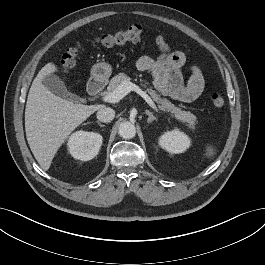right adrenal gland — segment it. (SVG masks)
I'll return each mask as SVG.
<instances>
[{"label":"right adrenal gland","mask_w":265,"mask_h":265,"mask_svg":"<svg viewBox=\"0 0 265 265\" xmlns=\"http://www.w3.org/2000/svg\"><path fill=\"white\" fill-rule=\"evenodd\" d=\"M96 123H97L100 127H105V125L101 124L99 121H96Z\"/></svg>","instance_id":"1"}]
</instances>
